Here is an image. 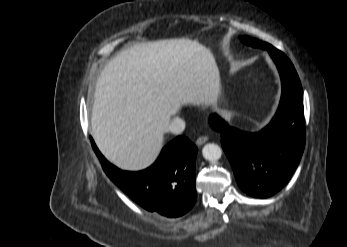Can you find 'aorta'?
I'll return each instance as SVG.
<instances>
[{"label":"aorta","mask_w":347,"mask_h":247,"mask_svg":"<svg viewBox=\"0 0 347 247\" xmlns=\"http://www.w3.org/2000/svg\"><path fill=\"white\" fill-rule=\"evenodd\" d=\"M203 157L208 161H217L222 156L221 148L215 143H208L202 149Z\"/></svg>","instance_id":"obj_1"}]
</instances>
